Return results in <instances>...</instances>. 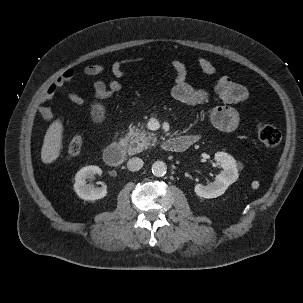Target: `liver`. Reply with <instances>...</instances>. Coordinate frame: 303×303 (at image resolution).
Here are the masks:
<instances>
[{
    "mask_svg": "<svg viewBox=\"0 0 303 303\" xmlns=\"http://www.w3.org/2000/svg\"><path fill=\"white\" fill-rule=\"evenodd\" d=\"M63 131L64 127L59 118L49 126L41 149V159L44 164H51L60 157L63 149Z\"/></svg>",
    "mask_w": 303,
    "mask_h": 303,
    "instance_id": "6515ba94",
    "label": "liver"
}]
</instances>
